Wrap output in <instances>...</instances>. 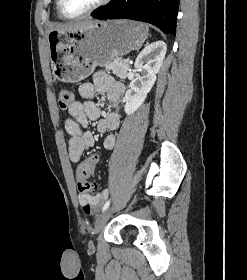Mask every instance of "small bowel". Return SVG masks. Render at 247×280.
<instances>
[{
  "mask_svg": "<svg viewBox=\"0 0 247 280\" xmlns=\"http://www.w3.org/2000/svg\"><path fill=\"white\" fill-rule=\"evenodd\" d=\"M123 84L114 80L106 72H97L92 82L82 83L78 87V94L82 101H75L69 107L70 118L65 121V130L69 135L68 152L72 162H79L86 148L94 145V137L85 128L89 121L97 120L99 132L107 133L103 139L106 150L113 149L116 141L114 132L119 128L120 116L116 112H109L101 116V110L95 102L97 94H105L108 101L116 107L124 94ZM107 190L98 194L80 193L79 203L85 213L90 214L103 202Z\"/></svg>",
  "mask_w": 247,
  "mask_h": 280,
  "instance_id": "small-bowel-1",
  "label": "small bowel"
}]
</instances>
